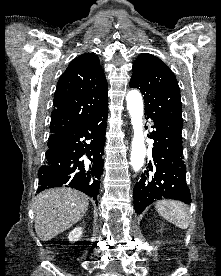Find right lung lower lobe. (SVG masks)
<instances>
[{
    "instance_id": "right-lung-lower-lobe-1",
    "label": "right lung lower lobe",
    "mask_w": 221,
    "mask_h": 276,
    "mask_svg": "<svg viewBox=\"0 0 221 276\" xmlns=\"http://www.w3.org/2000/svg\"><path fill=\"white\" fill-rule=\"evenodd\" d=\"M108 107L57 144L48 147L46 160L38 171V191L66 185L96 200L103 174Z\"/></svg>"
}]
</instances>
